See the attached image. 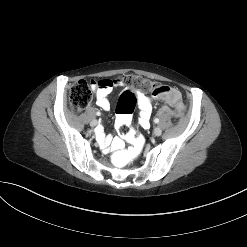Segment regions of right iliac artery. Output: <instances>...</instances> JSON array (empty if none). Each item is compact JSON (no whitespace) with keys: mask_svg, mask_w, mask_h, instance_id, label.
Segmentation results:
<instances>
[{"mask_svg":"<svg viewBox=\"0 0 247 247\" xmlns=\"http://www.w3.org/2000/svg\"><path fill=\"white\" fill-rule=\"evenodd\" d=\"M97 115H100V112H97Z\"/></svg>","mask_w":247,"mask_h":247,"instance_id":"1","label":"right iliac artery"}]
</instances>
